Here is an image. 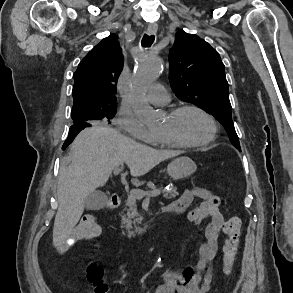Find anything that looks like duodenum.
<instances>
[{
	"label": "duodenum",
	"mask_w": 293,
	"mask_h": 293,
	"mask_svg": "<svg viewBox=\"0 0 293 293\" xmlns=\"http://www.w3.org/2000/svg\"><path fill=\"white\" fill-rule=\"evenodd\" d=\"M121 203V197L118 194H112L109 197V201L107 204V208L110 210H113L115 208H117ZM177 211L171 207V206H164V207H160L154 214V216L148 221L146 222L138 231L139 234L144 233L146 230H148L156 221L157 219L163 215V214H176Z\"/></svg>",
	"instance_id": "duodenum-1"
}]
</instances>
